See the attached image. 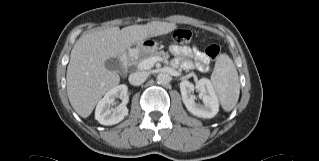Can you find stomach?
<instances>
[{
  "mask_svg": "<svg viewBox=\"0 0 319 161\" xmlns=\"http://www.w3.org/2000/svg\"><path fill=\"white\" fill-rule=\"evenodd\" d=\"M157 43L154 40L144 39L137 43V51L142 55H148L155 52Z\"/></svg>",
  "mask_w": 319,
  "mask_h": 161,
  "instance_id": "1",
  "label": "stomach"
}]
</instances>
